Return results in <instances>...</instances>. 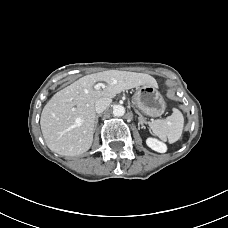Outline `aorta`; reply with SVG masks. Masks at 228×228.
<instances>
[{"label": "aorta", "mask_w": 228, "mask_h": 228, "mask_svg": "<svg viewBox=\"0 0 228 228\" xmlns=\"http://www.w3.org/2000/svg\"><path fill=\"white\" fill-rule=\"evenodd\" d=\"M125 114V108L121 105H115L113 108V115L120 117Z\"/></svg>", "instance_id": "1"}]
</instances>
